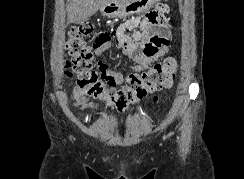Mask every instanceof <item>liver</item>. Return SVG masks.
Masks as SVG:
<instances>
[{"label":"liver","instance_id":"liver-1","mask_svg":"<svg viewBox=\"0 0 244 179\" xmlns=\"http://www.w3.org/2000/svg\"><path fill=\"white\" fill-rule=\"evenodd\" d=\"M67 2L68 20L73 22V20H86L89 16H93L108 0H67Z\"/></svg>","mask_w":244,"mask_h":179}]
</instances>
